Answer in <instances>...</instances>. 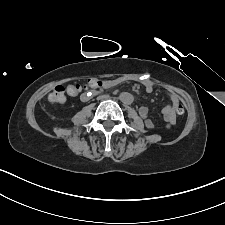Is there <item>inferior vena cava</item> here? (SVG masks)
Masks as SVG:
<instances>
[{
  "mask_svg": "<svg viewBox=\"0 0 225 225\" xmlns=\"http://www.w3.org/2000/svg\"><path fill=\"white\" fill-rule=\"evenodd\" d=\"M106 98H108V96H107V95H102V96H99V99H106Z\"/></svg>",
  "mask_w": 225,
  "mask_h": 225,
  "instance_id": "obj_1",
  "label": "inferior vena cava"
}]
</instances>
